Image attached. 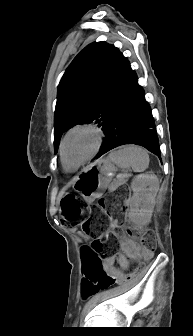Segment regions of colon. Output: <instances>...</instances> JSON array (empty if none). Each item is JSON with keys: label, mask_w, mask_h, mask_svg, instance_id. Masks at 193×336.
<instances>
[{"label": "colon", "mask_w": 193, "mask_h": 336, "mask_svg": "<svg viewBox=\"0 0 193 336\" xmlns=\"http://www.w3.org/2000/svg\"><path fill=\"white\" fill-rule=\"evenodd\" d=\"M125 208L117 200L100 198L97 204L90 207L74 194H67L62 200V213L66 225L75 226L81 224L83 232L94 236L89 249L84 251V270L87 284L93 289H107L116 283H125L130 278H117L105 272L103 260L112 255L118 248V238L110 231V227L117 226L124 215ZM141 244L144 256L151 257L157 248L155 234L145 231L141 235Z\"/></svg>", "instance_id": "5ec220e1"}]
</instances>
